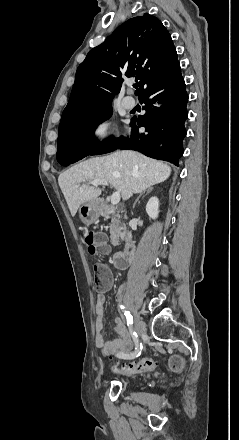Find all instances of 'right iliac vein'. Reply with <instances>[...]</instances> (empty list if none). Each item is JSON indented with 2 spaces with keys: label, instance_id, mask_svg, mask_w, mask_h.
I'll return each instance as SVG.
<instances>
[{
  "label": "right iliac vein",
  "instance_id": "63e3f726",
  "mask_svg": "<svg viewBox=\"0 0 239 440\" xmlns=\"http://www.w3.org/2000/svg\"><path fill=\"white\" fill-rule=\"evenodd\" d=\"M135 331L138 335H141L145 331V323L139 318L135 321Z\"/></svg>",
  "mask_w": 239,
  "mask_h": 440
}]
</instances>
